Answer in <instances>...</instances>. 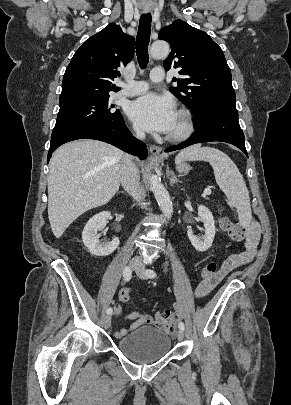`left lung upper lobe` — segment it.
Wrapping results in <instances>:
<instances>
[{"label": "left lung upper lobe", "mask_w": 291, "mask_h": 405, "mask_svg": "<svg viewBox=\"0 0 291 405\" xmlns=\"http://www.w3.org/2000/svg\"><path fill=\"white\" fill-rule=\"evenodd\" d=\"M159 39L170 43L172 51L164 61L166 70H179L177 88L170 91L194 115V125L201 124L208 111L217 105H235L230 68L222 49L204 31L182 20L163 28Z\"/></svg>", "instance_id": "5c2ea615"}]
</instances>
